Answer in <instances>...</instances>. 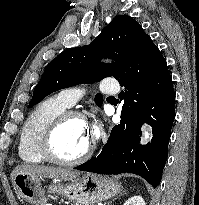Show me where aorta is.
Listing matches in <instances>:
<instances>
[{"label":"aorta","mask_w":199,"mask_h":205,"mask_svg":"<svg viewBox=\"0 0 199 205\" xmlns=\"http://www.w3.org/2000/svg\"><path fill=\"white\" fill-rule=\"evenodd\" d=\"M149 135H150L149 132L147 130H145V132H144L145 140H147L149 138Z\"/></svg>","instance_id":"762f6f07"}]
</instances>
